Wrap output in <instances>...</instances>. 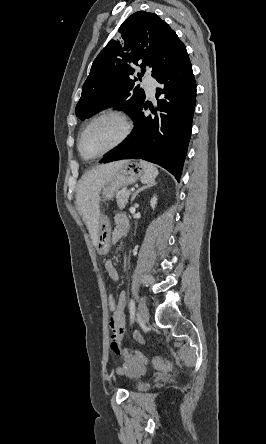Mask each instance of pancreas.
I'll list each match as a JSON object with an SVG mask.
<instances>
[{
    "instance_id": "1",
    "label": "pancreas",
    "mask_w": 266,
    "mask_h": 444,
    "mask_svg": "<svg viewBox=\"0 0 266 444\" xmlns=\"http://www.w3.org/2000/svg\"><path fill=\"white\" fill-rule=\"evenodd\" d=\"M130 194H131V192L128 190L121 191L116 194V201H117V206L119 207V209L125 208V206L128 203V199H129Z\"/></svg>"
}]
</instances>
